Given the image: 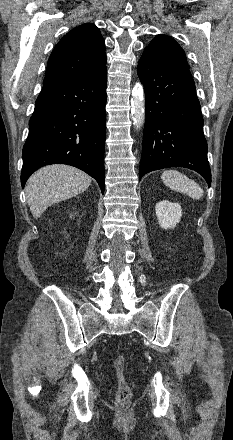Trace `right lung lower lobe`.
I'll list each match as a JSON object with an SVG mask.
<instances>
[{"label": "right lung lower lobe", "instance_id": "1", "mask_svg": "<svg viewBox=\"0 0 233 440\" xmlns=\"http://www.w3.org/2000/svg\"><path fill=\"white\" fill-rule=\"evenodd\" d=\"M106 69L73 84L43 88L23 147L21 185L38 168L68 164L92 176L104 193Z\"/></svg>", "mask_w": 233, "mask_h": 440}]
</instances>
